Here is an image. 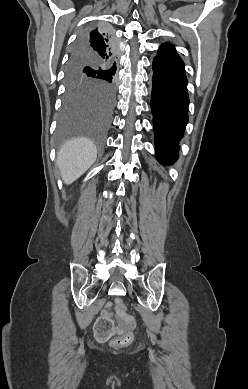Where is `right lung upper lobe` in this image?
I'll return each instance as SVG.
<instances>
[{"instance_id":"1","label":"right lung upper lobe","mask_w":248,"mask_h":389,"mask_svg":"<svg viewBox=\"0 0 248 389\" xmlns=\"http://www.w3.org/2000/svg\"><path fill=\"white\" fill-rule=\"evenodd\" d=\"M105 32L106 31L102 29L96 28L88 32L81 42L84 44L83 47L87 49L94 58H98L116 66L115 60L118 53L117 46L115 45V48H112L109 40H107L108 35Z\"/></svg>"}]
</instances>
